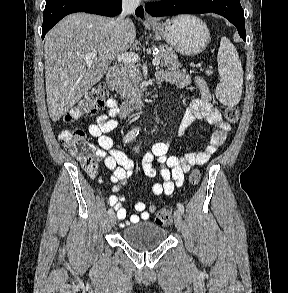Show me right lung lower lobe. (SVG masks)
<instances>
[{"instance_id":"1","label":"right lung lower lobe","mask_w":288,"mask_h":293,"mask_svg":"<svg viewBox=\"0 0 288 293\" xmlns=\"http://www.w3.org/2000/svg\"><path fill=\"white\" fill-rule=\"evenodd\" d=\"M122 0H51L46 2L43 14L42 39L64 16L75 12H86L114 17L121 12ZM143 18V7L135 11Z\"/></svg>"}]
</instances>
